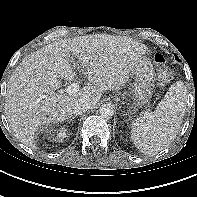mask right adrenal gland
I'll list each match as a JSON object with an SVG mask.
<instances>
[{
	"mask_svg": "<svg viewBox=\"0 0 197 197\" xmlns=\"http://www.w3.org/2000/svg\"><path fill=\"white\" fill-rule=\"evenodd\" d=\"M76 116H72V118L70 119V121H72Z\"/></svg>",
	"mask_w": 197,
	"mask_h": 197,
	"instance_id": "right-adrenal-gland-1",
	"label": "right adrenal gland"
}]
</instances>
